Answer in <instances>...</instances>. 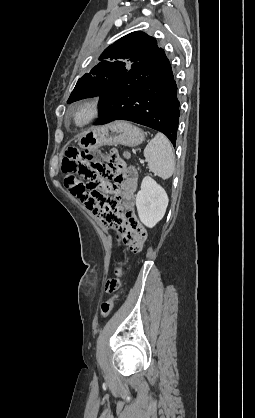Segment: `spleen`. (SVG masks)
<instances>
[{"label":"spleen","mask_w":255,"mask_h":418,"mask_svg":"<svg viewBox=\"0 0 255 418\" xmlns=\"http://www.w3.org/2000/svg\"><path fill=\"white\" fill-rule=\"evenodd\" d=\"M149 171L162 178H170L175 170V156L171 143L162 133H157L144 149Z\"/></svg>","instance_id":"spleen-1"}]
</instances>
